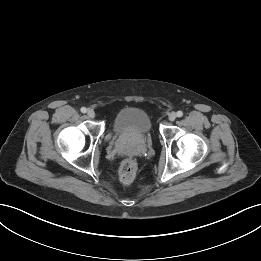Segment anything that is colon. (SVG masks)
<instances>
[{
  "mask_svg": "<svg viewBox=\"0 0 261 261\" xmlns=\"http://www.w3.org/2000/svg\"><path fill=\"white\" fill-rule=\"evenodd\" d=\"M137 172V163L134 159L128 158L125 159L119 168V178L120 181L124 184L131 183Z\"/></svg>",
  "mask_w": 261,
  "mask_h": 261,
  "instance_id": "5ec220e1",
  "label": "colon"
}]
</instances>
